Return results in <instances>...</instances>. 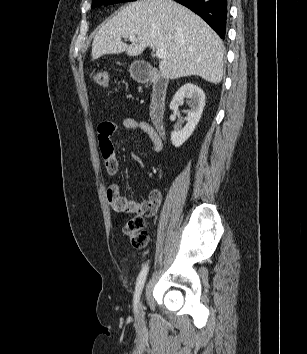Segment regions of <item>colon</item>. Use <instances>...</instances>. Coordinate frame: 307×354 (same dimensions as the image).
I'll use <instances>...</instances> for the list:
<instances>
[{"label": "colon", "mask_w": 307, "mask_h": 354, "mask_svg": "<svg viewBox=\"0 0 307 354\" xmlns=\"http://www.w3.org/2000/svg\"><path fill=\"white\" fill-rule=\"evenodd\" d=\"M93 78L95 83L101 87H106L108 85L109 75L105 69L96 70ZM101 145L104 146L106 143L101 142ZM116 210L120 212H127L118 206L116 207ZM142 215H136L129 218L124 226L125 234L130 238L132 246L137 249L146 247L149 241L148 234L145 231V219Z\"/></svg>", "instance_id": "1"}]
</instances>
